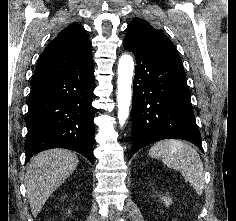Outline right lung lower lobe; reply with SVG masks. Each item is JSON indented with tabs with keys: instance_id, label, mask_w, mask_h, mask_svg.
Here are the masks:
<instances>
[{
	"instance_id": "1",
	"label": "right lung lower lobe",
	"mask_w": 236,
	"mask_h": 221,
	"mask_svg": "<svg viewBox=\"0 0 236 221\" xmlns=\"http://www.w3.org/2000/svg\"><path fill=\"white\" fill-rule=\"evenodd\" d=\"M31 85L26 162L41 151L66 148L93 163V65L32 80Z\"/></svg>"
}]
</instances>
